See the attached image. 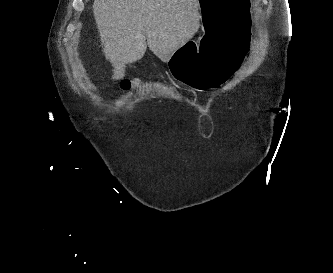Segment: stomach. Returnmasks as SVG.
Here are the masks:
<instances>
[{
    "mask_svg": "<svg viewBox=\"0 0 333 273\" xmlns=\"http://www.w3.org/2000/svg\"><path fill=\"white\" fill-rule=\"evenodd\" d=\"M252 0H196L204 30L199 44L188 40L168 63L173 77L196 91L233 81L250 50Z\"/></svg>",
    "mask_w": 333,
    "mask_h": 273,
    "instance_id": "0dacf381",
    "label": "stomach"
}]
</instances>
